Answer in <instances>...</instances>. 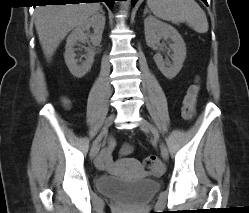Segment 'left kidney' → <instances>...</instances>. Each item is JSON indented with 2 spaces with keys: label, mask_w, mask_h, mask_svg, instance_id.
<instances>
[{
  "label": "left kidney",
  "mask_w": 249,
  "mask_h": 213,
  "mask_svg": "<svg viewBox=\"0 0 249 213\" xmlns=\"http://www.w3.org/2000/svg\"><path fill=\"white\" fill-rule=\"evenodd\" d=\"M144 30L146 43L149 47L159 45L162 38L170 39L173 42L169 45L173 51V54L171 55L172 64L164 61L159 53L155 54L153 57L161 73L167 79H173L181 70L186 58V45L183 38L173 26L162 22L153 16H148L144 20Z\"/></svg>",
  "instance_id": "5707ae66"
}]
</instances>
